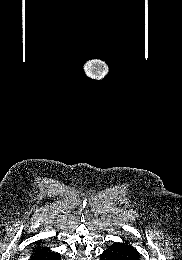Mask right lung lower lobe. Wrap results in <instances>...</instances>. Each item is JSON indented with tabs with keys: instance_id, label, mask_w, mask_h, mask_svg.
<instances>
[{
	"instance_id": "obj_1",
	"label": "right lung lower lobe",
	"mask_w": 182,
	"mask_h": 260,
	"mask_svg": "<svg viewBox=\"0 0 182 260\" xmlns=\"http://www.w3.org/2000/svg\"><path fill=\"white\" fill-rule=\"evenodd\" d=\"M30 260H61L58 253L51 252L47 248L38 247L33 250Z\"/></svg>"
}]
</instances>
